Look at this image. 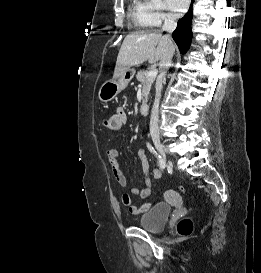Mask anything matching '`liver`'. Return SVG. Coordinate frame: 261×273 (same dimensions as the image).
I'll list each match as a JSON object with an SVG mask.
<instances>
[{
	"mask_svg": "<svg viewBox=\"0 0 261 273\" xmlns=\"http://www.w3.org/2000/svg\"><path fill=\"white\" fill-rule=\"evenodd\" d=\"M173 45V43H172ZM173 49L168 37L161 31L137 32L127 35L119 50L113 79L120 77L132 66L140 65L145 61L156 63L165 58Z\"/></svg>",
	"mask_w": 261,
	"mask_h": 273,
	"instance_id": "6515ba94",
	"label": "liver"
}]
</instances>
